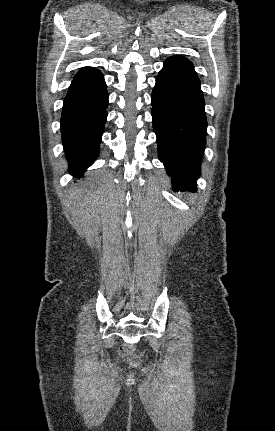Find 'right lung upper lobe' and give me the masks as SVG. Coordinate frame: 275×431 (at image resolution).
<instances>
[{
	"label": "right lung upper lobe",
	"mask_w": 275,
	"mask_h": 431,
	"mask_svg": "<svg viewBox=\"0 0 275 431\" xmlns=\"http://www.w3.org/2000/svg\"><path fill=\"white\" fill-rule=\"evenodd\" d=\"M93 70H96V69L91 68V67H84V68L80 69V71L75 75L74 78H76L78 76H81V75H84L86 73H89V72H91Z\"/></svg>",
	"instance_id": "cb5924a9"
}]
</instances>
